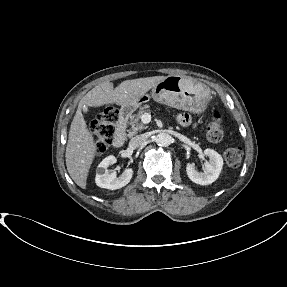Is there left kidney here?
<instances>
[{"label": "left kidney", "mask_w": 287, "mask_h": 287, "mask_svg": "<svg viewBox=\"0 0 287 287\" xmlns=\"http://www.w3.org/2000/svg\"><path fill=\"white\" fill-rule=\"evenodd\" d=\"M204 154L209 158V161L204 164V172L196 171L189 163L186 166L190 180L200 185H208L216 181L223 167V158L215 150L207 148L204 150Z\"/></svg>", "instance_id": "1"}]
</instances>
